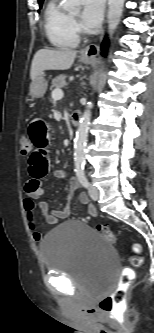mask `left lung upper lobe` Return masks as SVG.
I'll return each instance as SVG.
<instances>
[{
  "mask_svg": "<svg viewBox=\"0 0 154 333\" xmlns=\"http://www.w3.org/2000/svg\"><path fill=\"white\" fill-rule=\"evenodd\" d=\"M44 0H38V3H39V6L40 8L42 7V3H43Z\"/></svg>",
  "mask_w": 154,
  "mask_h": 333,
  "instance_id": "obj_1",
  "label": "left lung upper lobe"
}]
</instances>
